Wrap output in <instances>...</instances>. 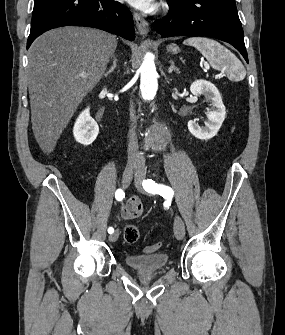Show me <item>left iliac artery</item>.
I'll return each instance as SVG.
<instances>
[{
	"label": "left iliac artery",
	"mask_w": 285,
	"mask_h": 335,
	"mask_svg": "<svg viewBox=\"0 0 285 335\" xmlns=\"http://www.w3.org/2000/svg\"><path fill=\"white\" fill-rule=\"evenodd\" d=\"M142 185L147 192L152 194H159L163 197L167 195L173 196L174 194V191L169 186L157 184L152 179L144 180Z\"/></svg>",
	"instance_id": "44dca946"
}]
</instances>
